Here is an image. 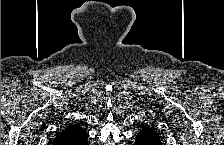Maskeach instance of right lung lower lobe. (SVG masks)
<instances>
[{"label": "right lung lower lobe", "instance_id": "obj_1", "mask_svg": "<svg viewBox=\"0 0 224 145\" xmlns=\"http://www.w3.org/2000/svg\"><path fill=\"white\" fill-rule=\"evenodd\" d=\"M87 144V139L86 140H82L81 142H79V145H86Z\"/></svg>", "mask_w": 224, "mask_h": 145}]
</instances>
